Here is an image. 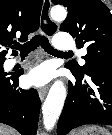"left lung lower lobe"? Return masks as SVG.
<instances>
[{
	"label": "left lung lower lobe",
	"mask_w": 112,
	"mask_h": 135,
	"mask_svg": "<svg viewBox=\"0 0 112 135\" xmlns=\"http://www.w3.org/2000/svg\"><path fill=\"white\" fill-rule=\"evenodd\" d=\"M66 68L70 69L67 65ZM76 83L69 81V92L58 121L57 135L86 124L112 125V69L87 72L89 83L70 69Z\"/></svg>",
	"instance_id": "left-lung-lower-lobe-1"
}]
</instances>
